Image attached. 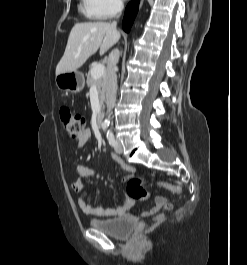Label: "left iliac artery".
<instances>
[{
    "label": "left iliac artery",
    "mask_w": 247,
    "mask_h": 265,
    "mask_svg": "<svg viewBox=\"0 0 247 265\" xmlns=\"http://www.w3.org/2000/svg\"><path fill=\"white\" fill-rule=\"evenodd\" d=\"M107 139H108L109 144L111 146H113V147L116 146V141H115L114 135L110 130L107 131Z\"/></svg>",
    "instance_id": "left-iliac-artery-1"
}]
</instances>
